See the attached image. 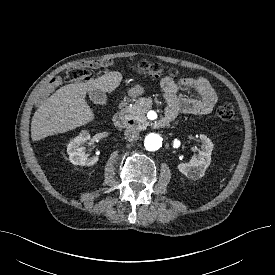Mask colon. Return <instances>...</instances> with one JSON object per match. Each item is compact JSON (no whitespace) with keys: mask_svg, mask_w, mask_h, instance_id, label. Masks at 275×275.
I'll use <instances>...</instances> for the list:
<instances>
[{"mask_svg":"<svg viewBox=\"0 0 275 275\" xmlns=\"http://www.w3.org/2000/svg\"><path fill=\"white\" fill-rule=\"evenodd\" d=\"M110 60H93L86 62L83 66H75L69 68L64 75V79L71 83H82L91 80L92 76L86 68H97L109 66ZM132 68L141 74L148 75L152 78H159L164 75L175 76L177 71L175 69H165L159 63H150L140 61L135 63ZM57 82V79H54ZM217 116L222 120H231L234 117V107L231 103H224L217 108Z\"/></svg>","mask_w":275,"mask_h":275,"instance_id":"5ec220e1","label":"colon"}]
</instances>
